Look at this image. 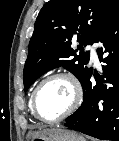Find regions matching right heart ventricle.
Instances as JSON below:
<instances>
[{
  "label": "right heart ventricle",
  "mask_w": 119,
  "mask_h": 141,
  "mask_svg": "<svg viewBox=\"0 0 119 141\" xmlns=\"http://www.w3.org/2000/svg\"><path fill=\"white\" fill-rule=\"evenodd\" d=\"M33 93V92H32ZM32 93H31V95H30V97H29V102H28V105H29V108H30V110H31V96H32ZM32 111V110H31Z\"/></svg>",
  "instance_id": "e07e8e85"
}]
</instances>
